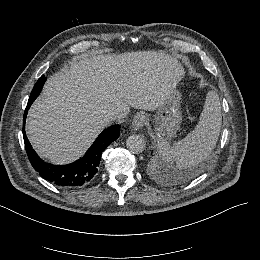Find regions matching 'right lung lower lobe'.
<instances>
[{
    "mask_svg": "<svg viewBox=\"0 0 260 260\" xmlns=\"http://www.w3.org/2000/svg\"><path fill=\"white\" fill-rule=\"evenodd\" d=\"M46 81L42 75L36 82L23 117V138L26 152L33 168L39 172L40 176L51 183L65 189H73L88 184L98 172L102 152L106 147L115 141L120 134V126L114 125L105 129L88 149L85 155L74 163L67 165H52L44 162L32 149L29 140L25 134V119L33 101L40 94Z\"/></svg>",
    "mask_w": 260,
    "mask_h": 260,
    "instance_id": "right-lung-lower-lobe-1",
    "label": "right lung lower lobe"
}]
</instances>
